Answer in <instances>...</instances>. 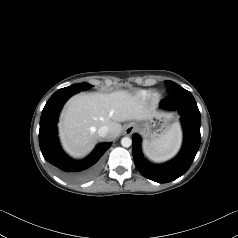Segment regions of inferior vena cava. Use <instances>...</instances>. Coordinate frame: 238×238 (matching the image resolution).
<instances>
[{
  "label": "inferior vena cava",
  "mask_w": 238,
  "mask_h": 238,
  "mask_svg": "<svg viewBox=\"0 0 238 238\" xmlns=\"http://www.w3.org/2000/svg\"><path fill=\"white\" fill-rule=\"evenodd\" d=\"M108 127L107 126H101L98 130L97 133L100 137H105L108 134Z\"/></svg>",
  "instance_id": "602c4592"
}]
</instances>
